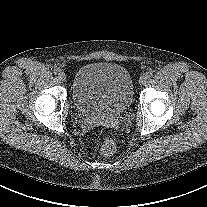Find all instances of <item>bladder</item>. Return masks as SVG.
Masks as SVG:
<instances>
[{"mask_svg":"<svg viewBox=\"0 0 207 207\" xmlns=\"http://www.w3.org/2000/svg\"><path fill=\"white\" fill-rule=\"evenodd\" d=\"M72 98L77 110L86 116L116 115L124 112L133 99V82L121 65L92 62L74 76Z\"/></svg>","mask_w":207,"mask_h":207,"instance_id":"31cf9c89","label":"bladder"}]
</instances>
